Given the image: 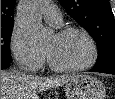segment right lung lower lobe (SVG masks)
I'll return each mask as SVG.
<instances>
[{
  "instance_id": "98d812e1",
  "label": "right lung lower lobe",
  "mask_w": 115,
  "mask_h": 99,
  "mask_svg": "<svg viewBox=\"0 0 115 99\" xmlns=\"http://www.w3.org/2000/svg\"><path fill=\"white\" fill-rule=\"evenodd\" d=\"M10 66V63L1 62V69H6Z\"/></svg>"
}]
</instances>
